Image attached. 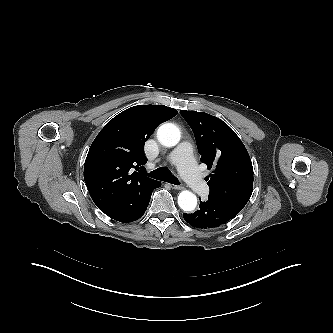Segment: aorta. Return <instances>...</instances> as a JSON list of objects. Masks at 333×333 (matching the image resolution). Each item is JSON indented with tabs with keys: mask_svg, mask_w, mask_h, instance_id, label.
I'll use <instances>...</instances> for the list:
<instances>
[{
	"mask_svg": "<svg viewBox=\"0 0 333 333\" xmlns=\"http://www.w3.org/2000/svg\"><path fill=\"white\" fill-rule=\"evenodd\" d=\"M157 137L163 146L173 147L180 141L181 132L175 124L165 123L159 127ZM178 205L186 212L193 211L197 205V198L192 192L183 190L178 196Z\"/></svg>",
	"mask_w": 333,
	"mask_h": 333,
	"instance_id": "obj_1",
	"label": "aorta"
}]
</instances>
